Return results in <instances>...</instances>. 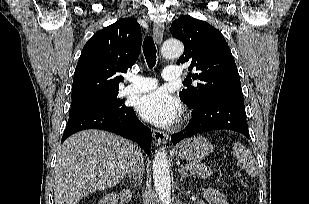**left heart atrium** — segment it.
Here are the masks:
<instances>
[{
    "label": "left heart atrium",
    "mask_w": 309,
    "mask_h": 204,
    "mask_svg": "<svg viewBox=\"0 0 309 204\" xmlns=\"http://www.w3.org/2000/svg\"><path fill=\"white\" fill-rule=\"evenodd\" d=\"M137 110L142 118L162 127L175 123L181 112L179 102L165 90H156L141 96Z\"/></svg>",
    "instance_id": "39dd6f15"
}]
</instances>
